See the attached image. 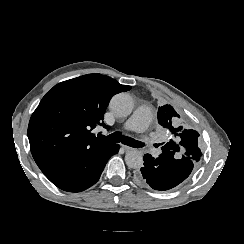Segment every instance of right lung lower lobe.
Instances as JSON below:
<instances>
[{"instance_id":"obj_1","label":"right lung lower lobe","mask_w":244,"mask_h":244,"mask_svg":"<svg viewBox=\"0 0 244 244\" xmlns=\"http://www.w3.org/2000/svg\"><path fill=\"white\" fill-rule=\"evenodd\" d=\"M119 148L118 144L111 143L88 149L41 170L60 189L69 192L83 191L98 181L108 159L118 153Z\"/></svg>"}]
</instances>
